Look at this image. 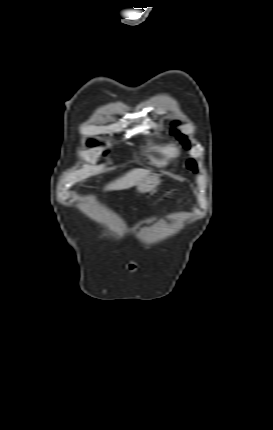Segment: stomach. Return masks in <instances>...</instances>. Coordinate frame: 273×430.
Masks as SVG:
<instances>
[{"instance_id": "obj_1", "label": "stomach", "mask_w": 273, "mask_h": 430, "mask_svg": "<svg viewBox=\"0 0 273 430\" xmlns=\"http://www.w3.org/2000/svg\"><path fill=\"white\" fill-rule=\"evenodd\" d=\"M160 183V177L157 174H150L138 183V190L141 193L153 191Z\"/></svg>"}]
</instances>
